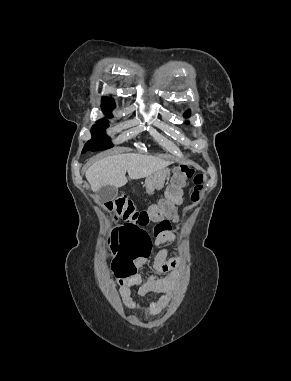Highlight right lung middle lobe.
Instances as JSON below:
<instances>
[{"instance_id": "right-lung-middle-lobe-1", "label": "right lung middle lobe", "mask_w": 291, "mask_h": 381, "mask_svg": "<svg viewBox=\"0 0 291 381\" xmlns=\"http://www.w3.org/2000/svg\"><path fill=\"white\" fill-rule=\"evenodd\" d=\"M115 107L113 104L102 103V109L104 113L112 117L111 110ZM108 127V123L105 120L97 121V125L92 127V140L87 142L83 148L82 153L86 151H99L113 147V144L106 137L104 128Z\"/></svg>"}]
</instances>
